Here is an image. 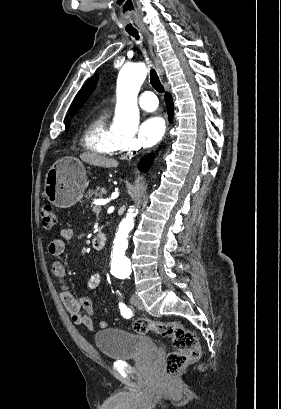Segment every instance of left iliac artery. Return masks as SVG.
<instances>
[{"label": "left iliac artery", "instance_id": "left-iliac-artery-1", "mask_svg": "<svg viewBox=\"0 0 281 409\" xmlns=\"http://www.w3.org/2000/svg\"><path fill=\"white\" fill-rule=\"evenodd\" d=\"M119 308L124 318H130L133 315L131 309L128 308L124 303H120Z\"/></svg>", "mask_w": 281, "mask_h": 409}]
</instances>
